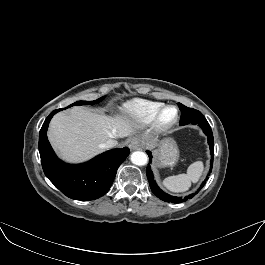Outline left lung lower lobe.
Listing matches in <instances>:
<instances>
[{"instance_id":"0a47b994","label":"left lung lower lobe","mask_w":265,"mask_h":265,"mask_svg":"<svg viewBox=\"0 0 265 265\" xmlns=\"http://www.w3.org/2000/svg\"><path fill=\"white\" fill-rule=\"evenodd\" d=\"M190 123L198 124L203 129L206 136L208 137V144L210 147V154H211V163H210L209 173H211L212 166H213V155H214V139H213V133H212L211 127H210L208 121L205 119V117L195 119ZM147 154L149 155V158L151 160L152 159L151 153L149 151H147ZM146 172H147V179H148V182H149V185H150L152 192L161 200H163L165 202H170V203H181V202H184L188 199H191L204 186L205 181H207V179H208V177H206L205 181L202 183L200 189L197 192L190 194L188 196H185V197H176V196H172V195L165 193L164 191H162L159 188L156 181L154 180V176H153V173L151 171L150 165H148Z\"/></svg>"}]
</instances>
